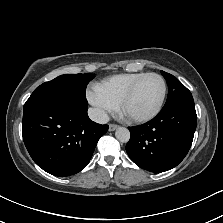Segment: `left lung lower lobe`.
<instances>
[{
  "label": "left lung lower lobe",
  "mask_w": 223,
  "mask_h": 223,
  "mask_svg": "<svg viewBox=\"0 0 223 223\" xmlns=\"http://www.w3.org/2000/svg\"><path fill=\"white\" fill-rule=\"evenodd\" d=\"M197 124L195 108L161 110L151 121L129 127L126 151L139 167L159 173L177 166L188 153Z\"/></svg>",
  "instance_id": "1"
}]
</instances>
